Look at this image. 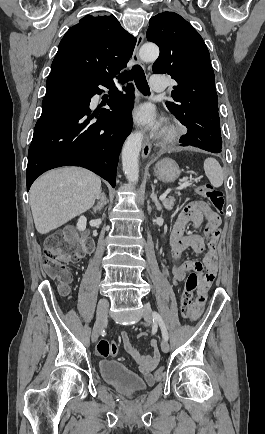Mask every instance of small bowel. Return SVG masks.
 Segmentation results:
<instances>
[{"mask_svg":"<svg viewBox=\"0 0 265 434\" xmlns=\"http://www.w3.org/2000/svg\"><path fill=\"white\" fill-rule=\"evenodd\" d=\"M220 223L219 215L214 212L206 202L201 200L193 201L182 209L168 236L173 264L172 285L176 286L193 270L199 275V279L202 280L196 293L195 306L192 308L189 317L192 321L197 320L202 315L207 291L216 274V242L219 236ZM188 225H192L195 228L204 227L206 236L196 234L186 235L185 229ZM207 239L209 240V250L204 258L206 268L203 267L200 262L194 260L180 261L181 254L187 249H192L196 253L203 252ZM145 336L146 333H140L138 335L139 338H144ZM121 338L126 351L142 365L145 381L148 384H152L154 378L151 370L155 367L156 361L160 358L157 340L152 339L150 341L152 356H147L142 354L133 345L127 331H122Z\"/></svg>","mask_w":265,"mask_h":434,"instance_id":"1","label":"small bowel"}]
</instances>
